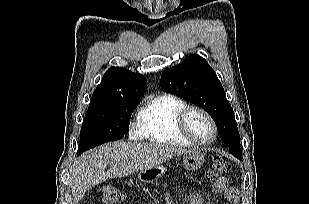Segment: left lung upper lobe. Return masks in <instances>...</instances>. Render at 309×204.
<instances>
[{"label": "left lung upper lobe", "instance_id": "left-lung-upper-lobe-1", "mask_svg": "<svg viewBox=\"0 0 309 204\" xmlns=\"http://www.w3.org/2000/svg\"><path fill=\"white\" fill-rule=\"evenodd\" d=\"M161 88L204 109L215 121L230 153L242 159L233 109L226 99L222 84L204 58L194 54L174 67L164 69Z\"/></svg>", "mask_w": 309, "mask_h": 204}]
</instances>
